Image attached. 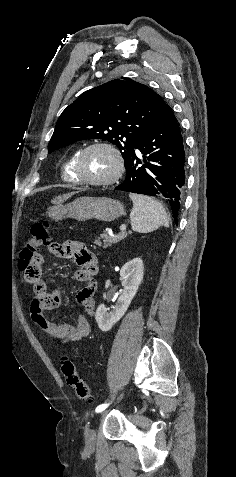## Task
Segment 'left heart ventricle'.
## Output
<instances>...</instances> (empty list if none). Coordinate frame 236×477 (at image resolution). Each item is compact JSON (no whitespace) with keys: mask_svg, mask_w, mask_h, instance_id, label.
I'll return each instance as SVG.
<instances>
[{"mask_svg":"<svg viewBox=\"0 0 236 477\" xmlns=\"http://www.w3.org/2000/svg\"><path fill=\"white\" fill-rule=\"evenodd\" d=\"M115 169L112 156L101 148L88 151L83 157L80 171L84 178L100 180L109 177Z\"/></svg>","mask_w":236,"mask_h":477,"instance_id":"obj_1","label":"left heart ventricle"}]
</instances>
